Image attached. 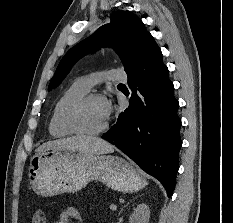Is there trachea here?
<instances>
[{"label": "trachea", "instance_id": "obj_1", "mask_svg": "<svg viewBox=\"0 0 233 223\" xmlns=\"http://www.w3.org/2000/svg\"><path fill=\"white\" fill-rule=\"evenodd\" d=\"M119 85H123V83H119Z\"/></svg>", "mask_w": 233, "mask_h": 223}]
</instances>
